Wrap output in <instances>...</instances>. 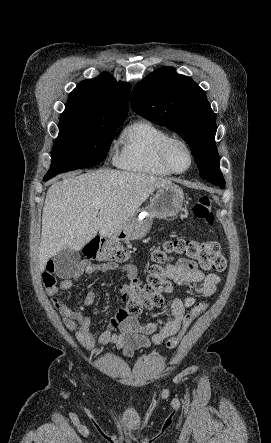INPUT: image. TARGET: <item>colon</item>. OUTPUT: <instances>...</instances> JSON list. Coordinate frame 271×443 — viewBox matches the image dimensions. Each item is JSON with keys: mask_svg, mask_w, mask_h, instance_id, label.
Listing matches in <instances>:
<instances>
[{"mask_svg": "<svg viewBox=\"0 0 271 443\" xmlns=\"http://www.w3.org/2000/svg\"><path fill=\"white\" fill-rule=\"evenodd\" d=\"M192 216L211 224L213 213L211 200L206 195H200L191 210ZM171 253L183 254L195 260L204 270L221 272L226 267V260L221 248L216 241L198 242L186 238H176L165 241L161 246L155 248L151 253V264L148 267V277L145 284L134 279L120 287L122 295L126 296L127 311L131 315L138 314L144 309L159 307L163 303V293L170 289L164 264ZM85 256L90 260L128 263L130 252L127 248L117 243L107 242L104 239L94 238L85 250ZM43 284L46 288L55 286L56 279L53 264L42 275ZM208 307L207 302L197 303L182 320V325L177 335L167 340V347L173 349L177 346L180 338L186 332L190 324L203 313Z\"/></svg>", "mask_w": 271, "mask_h": 443, "instance_id": "1", "label": "colon"}]
</instances>
